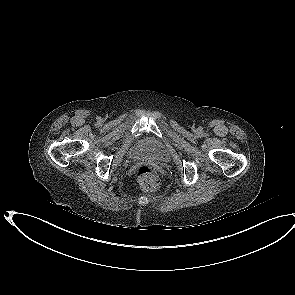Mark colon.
<instances>
[{
    "instance_id": "5ec220e1",
    "label": "colon",
    "mask_w": 295,
    "mask_h": 295,
    "mask_svg": "<svg viewBox=\"0 0 295 295\" xmlns=\"http://www.w3.org/2000/svg\"><path fill=\"white\" fill-rule=\"evenodd\" d=\"M137 182L140 188L147 192L156 191L160 186L158 172L149 165H142L136 171Z\"/></svg>"
}]
</instances>
